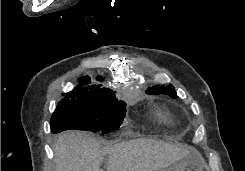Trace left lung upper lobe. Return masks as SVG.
Listing matches in <instances>:
<instances>
[{"label": "left lung upper lobe", "instance_id": "1", "mask_svg": "<svg viewBox=\"0 0 245 171\" xmlns=\"http://www.w3.org/2000/svg\"><path fill=\"white\" fill-rule=\"evenodd\" d=\"M148 94H154V95H159V94H165V95H169L170 97L176 98V92L174 90V87L170 84L167 87H165L164 85H157V86H153L152 88L149 87L147 90Z\"/></svg>", "mask_w": 245, "mask_h": 171}]
</instances>
